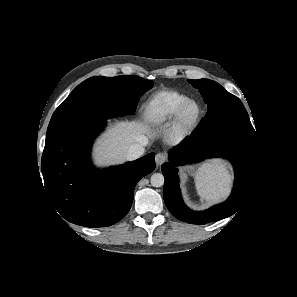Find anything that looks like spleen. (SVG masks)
<instances>
[{"mask_svg": "<svg viewBox=\"0 0 297 297\" xmlns=\"http://www.w3.org/2000/svg\"><path fill=\"white\" fill-rule=\"evenodd\" d=\"M230 182V174L219 161L204 164L195 173L198 194L207 201L223 197L229 190Z\"/></svg>", "mask_w": 297, "mask_h": 297, "instance_id": "spleen-1", "label": "spleen"}]
</instances>
